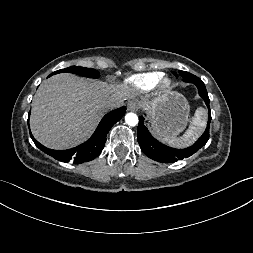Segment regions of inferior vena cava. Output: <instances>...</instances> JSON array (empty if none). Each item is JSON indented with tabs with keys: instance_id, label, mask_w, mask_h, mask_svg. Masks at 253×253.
I'll return each mask as SVG.
<instances>
[{
	"instance_id": "1",
	"label": "inferior vena cava",
	"mask_w": 253,
	"mask_h": 253,
	"mask_svg": "<svg viewBox=\"0 0 253 253\" xmlns=\"http://www.w3.org/2000/svg\"><path fill=\"white\" fill-rule=\"evenodd\" d=\"M117 106H118L117 103L111 102V103H109V104L107 105V108H108V109H113V108H116Z\"/></svg>"
}]
</instances>
